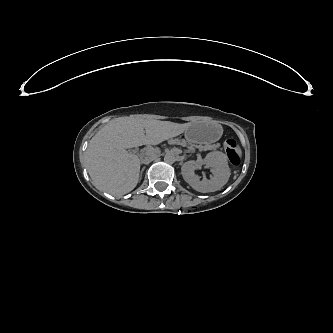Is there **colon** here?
<instances>
[{"mask_svg": "<svg viewBox=\"0 0 333 333\" xmlns=\"http://www.w3.org/2000/svg\"><path fill=\"white\" fill-rule=\"evenodd\" d=\"M224 148L229 161L233 165H239L241 157H240V152L237 149L236 141L232 138L226 139L224 142Z\"/></svg>", "mask_w": 333, "mask_h": 333, "instance_id": "obj_1", "label": "colon"}]
</instances>
